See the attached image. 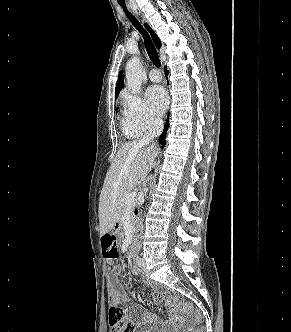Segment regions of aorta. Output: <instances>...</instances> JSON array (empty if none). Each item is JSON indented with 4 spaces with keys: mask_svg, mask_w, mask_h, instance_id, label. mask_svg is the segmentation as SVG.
I'll list each match as a JSON object with an SVG mask.
<instances>
[{
    "mask_svg": "<svg viewBox=\"0 0 291 332\" xmlns=\"http://www.w3.org/2000/svg\"><path fill=\"white\" fill-rule=\"evenodd\" d=\"M126 84L129 91L133 94L140 92L145 72L139 57H132L126 64L125 69Z\"/></svg>",
    "mask_w": 291,
    "mask_h": 332,
    "instance_id": "762f6f07",
    "label": "aorta"
}]
</instances>
